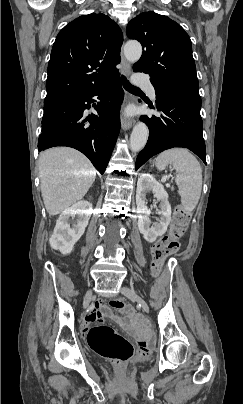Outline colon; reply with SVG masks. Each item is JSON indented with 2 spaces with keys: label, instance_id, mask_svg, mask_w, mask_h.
Instances as JSON below:
<instances>
[{
  "label": "colon",
  "instance_id": "1",
  "mask_svg": "<svg viewBox=\"0 0 243 404\" xmlns=\"http://www.w3.org/2000/svg\"><path fill=\"white\" fill-rule=\"evenodd\" d=\"M189 218L190 214L186 209L182 207L177 208L174 213L170 232L154 244L152 249V268L155 275H158L167 257L178 250L180 240L186 232ZM110 305L126 314H133V309L121 299L112 300ZM87 339L92 349L97 353L104 358L112 359L119 363L128 361L134 353L132 344L108 325H99L91 328L88 331ZM152 347V340H142L138 344V352L141 355H148Z\"/></svg>",
  "mask_w": 243,
  "mask_h": 404
}]
</instances>
